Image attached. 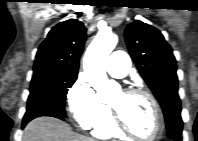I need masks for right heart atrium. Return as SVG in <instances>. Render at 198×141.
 <instances>
[{
  "label": "right heart atrium",
  "instance_id": "obj_1",
  "mask_svg": "<svg viewBox=\"0 0 198 141\" xmlns=\"http://www.w3.org/2000/svg\"><path fill=\"white\" fill-rule=\"evenodd\" d=\"M67 112L81 128H94L103 121L109 109L97 97L94 89L82 77L78 78L66 96Z\"/></svg>",
  "mask_w": 198,
  "mask_h": 141
}]
</instances>
